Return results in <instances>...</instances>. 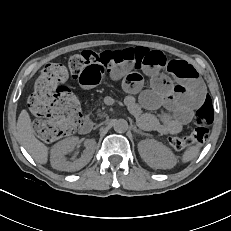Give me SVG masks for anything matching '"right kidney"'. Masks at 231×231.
I'll return each mask as SVG.
<instances>
[{
	"label": "right kidney",
	"instance_id": "1",
	"mask_svg": "<svg viewBox=\"0 0 231 231\" xmlns=\"http://www.w3.org/2000/svg\"><path fill=\"white\" fill-rule=\"evenodd\" d=\"M78 142V137H69L57 142L51 149V166L59 171L74 172L87 165L95 151L96 141L94 139H86L84 141L85 150L80 158L72 161L66 160V154L70 153Z\"/></svg>",
	"mask_w": 231,
	"mask_h": 231
}]
</instances>
